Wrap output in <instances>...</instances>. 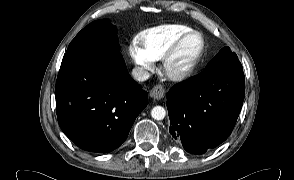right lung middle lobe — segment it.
I'll return each mask as SVG.
<instances>
[{"mask_svg": "<svg viewBox=\"0 0 294 180\" xmlns=\"http://www.w3.org/2000/svg\"><path fill=\"white\" fill-rule=\"evenodd\" d=\"M118 45L116 27L107 19L97 20L76 35L69 44L62 62L87 53L115 50Z\"/></svg>", "mask_w": 294, "mask_h": 180, "instance_id": "1", "label": "right lung middle lobe"}]
</instances>
